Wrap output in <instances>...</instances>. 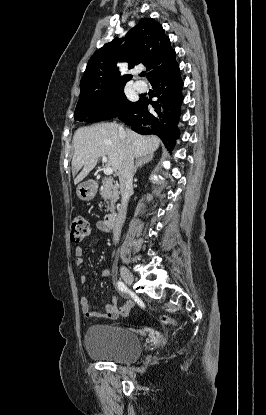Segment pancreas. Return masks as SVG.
<instances>
[{
    "instance_id": "obj_1",
    "label": "pancreas",
    "mask_w": 266,
    "mask_h": 415,
    "mask_svg": "<svg viewBox=\"0 0 266 415\" xmlns=\"http://www.w3.org/2000/svg\"><path fill=\"white\" fill-rule=\"evenodd\" d=\"M100 195L107 202V210L115 212V203L119 198L118 186L113 185L111 178H104L100 187Z\"/></svg>"
}]
</instances>
